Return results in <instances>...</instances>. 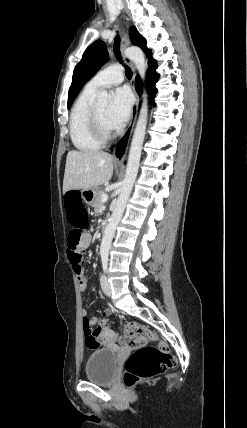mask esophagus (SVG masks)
Wrapping results in <instances>:
<instances>
[{
	"instance_id": "34e87169",
	"label": "esophagus",
	"mask_w": 247,
	"mask_h": 428,
	"mask_svg": "<svg viewBox=\"0 0 247 428\" xmlns=\"http://www.w3.org/2000/svg\"><path fill=\"white\" fill-rule=\"evenodd\" d=\"M124 47H125V45L123 44V46H122V57H123V60L126 63H128L130 65V67L132 68V71H133V89L135 91V87H134L135 77H136L135 70H134L133 64L129 61V59L123 53ZM135 94H136V92H135ZM137 107H138V96L136 94V103H135L133 111H132V117H131V120L129 122V125L126 128L123 135L117 141L116 146L114 148V153H113L114 162L118 165L123 164V161H124L126 153H127L128 145H129L130 138L132 135V131H133V128L135 125Z\"/></svg>"
}]
</instances>
